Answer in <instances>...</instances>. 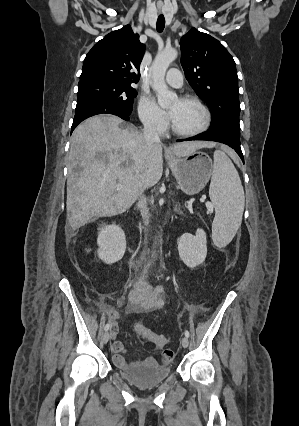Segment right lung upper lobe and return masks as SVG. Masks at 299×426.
<instances>
[{
    "mask_svg": "<svg viewBox=\"0 0 299 426\" xmlns=\"http://www.w3.org/2000/svg\"><path fill=\"white\" fill-rule=\"evenodd\" d=\"M144 50L145 45L130 25L109 33L86 55L78 85L105 82L131 86L137 83Z\"/></svg>",
    "mask_w": 299,
    "mask_h": 426,
    "instance_id": "1",
    "label": "right lung upper lobe"
}]
</instances>
